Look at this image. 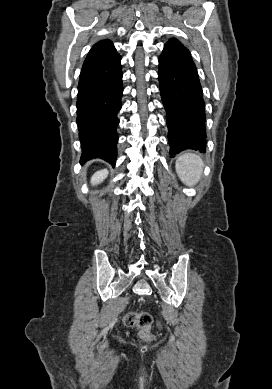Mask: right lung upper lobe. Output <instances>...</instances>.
<instances>
[{
  "label": "right lung upper lobe",
  "instance_id": "obj_1",
  "mask_svg": "<svg viewBox=\"0 0 272 389\" xmlns=\"http://www.w3.org/2000/svg\"><path fill=\"white\" fill-rule=\"evenodd\" d=\"M115 55H117V52L111 41H99L95 45H93V47L89 51L83 63L82 69L101 63L105 60L114 57Z\"/></svg>",
  "mask_w": 272,
  "mask_h": 389
}]
</instances>
